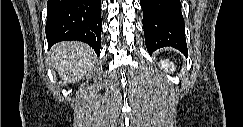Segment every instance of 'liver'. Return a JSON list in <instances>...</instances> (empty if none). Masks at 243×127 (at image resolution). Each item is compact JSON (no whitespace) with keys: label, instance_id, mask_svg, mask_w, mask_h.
<instances>
[{"label":"liver","instance_id":"liver-1","mask_svg":"<svg viewBox=\"0 0 243 127\" xmlns=\"http://www.w3.org/2000/svg\"><path fill=\"white\" fill-rule=\"evenodd\" d=\"M50 53L55 69L67 82L81 80L93 65V50L81 42H60L52 48Z\"/></svg>","mask_w":243,"mask_h":127}]
</instances>
